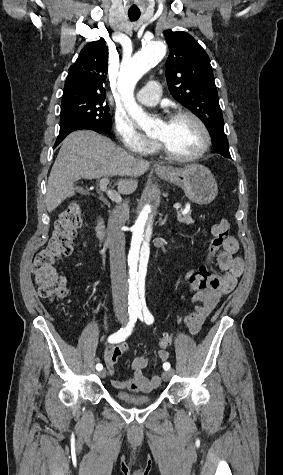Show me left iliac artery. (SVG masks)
Returning <instances> with one entry per match:
<instances>
[{"mask_svg":"<svg viewBox=\"0 0 283 475\" xmlns=\"http://www.w3.org/2000/svg\"><path fill=\"white\" fill-rule=\"evenodd\" d=\"M137 315H138L140 320H142V321L144 320L146 322V324H148V325L152 324L153 321H154V318H153L152 314L149 312V310L147 308H144L142 310V312L141 311L137 312ZM163 369L166 370V371L168 369H170V364L168 362L164 363L163 364Z\"/></svg>","mask_w":283,"mask_h":475,"instance_id":"left-iliac-artery-1","label":"left iliac artery"}]
</instances>
